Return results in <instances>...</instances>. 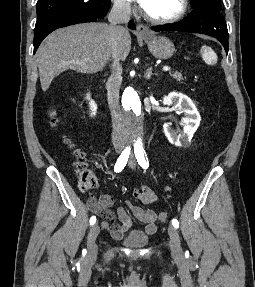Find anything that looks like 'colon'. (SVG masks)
I'll return each mask as SVG.
<instances>
[{
  "mask_svg": "<svg viewBox=\"0 0 255 287\" xmlns=\"http://www.w3.org/2000/svg\"><path fill=\"white\" fill-rule=\"evenodd\" d=\"M50 123L52 126L57 123V118L53 111L50 114ZM74 153L76 156V172L78 176L79 188L82 191H86L94 187L97 180L83 153L79 150H75ZM158 218L160 221L166 222L169 220V214L167 212H160Z\"/></svg>",
  "mask_w": 255,
  "mask_h": 287,
  "instance_id": "colon-1",
  "label": "colon"
}]
</instances>
